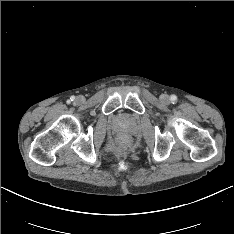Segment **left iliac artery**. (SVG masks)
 Wrapping results in <instances>:
<instances>
[{
  "instance_id": "obj_1",
  "label": "left iliac artery",
  "mask_w": 234,
  "mask_h": 234,
  "mask_svg": "<svg viewBox=\"0 0 234 234\" xmlns=\"http://www.w3.org/2000/svg\"><path fill=\"white\" fill-rule=\"evenodd\" d=\"M170 100H171L172 103H176L177 102V96L176 95H171Z\"/></svg>"
}]
</instances>
